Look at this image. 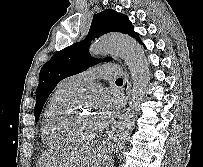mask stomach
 Segmentation results:
<instances>
[{
  "label": "stomach",
  "mask_w": 203,
  "mask_h": 167,
  "mask_svg": "<svg viewBox=\"0 0 203 167\" xmlns=\"http://www.w3.org/2000/svg\"><path fill=\"white\" fill-rule=\"evenodd\" d=\"M104 160H105L104 153L97 148L96 152L92 155V158L88 167H101L100 165Z\"/></svg>",
  "instance_id": "0dacf381"
}]
</instances>
